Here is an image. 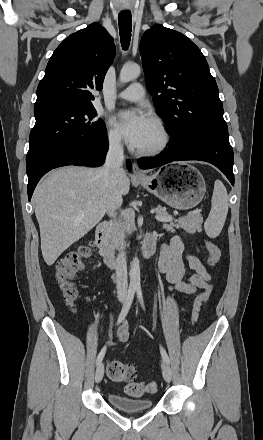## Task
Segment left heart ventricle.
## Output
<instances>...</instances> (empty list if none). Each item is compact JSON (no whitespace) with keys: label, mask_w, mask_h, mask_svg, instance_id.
Here are the masks:
<instances>
[{"label":"left heart ventricle","mask_w":263,"mask_h":440,"mask_svg":"<svg viewBox=\"0 0 263 440\" xmlns=\"http://www.w3.org/2000/svg\"><path fill=\"white\" fill-rule=\"evenodd\" d=\"M160 140L159 133L156 129V127L151 122L150 125L147 127L146 131L144 132L139 144L136 146V148H149L157 144Z\"/></svg>","instance_id":"b2bd125f"}]
</instances>
